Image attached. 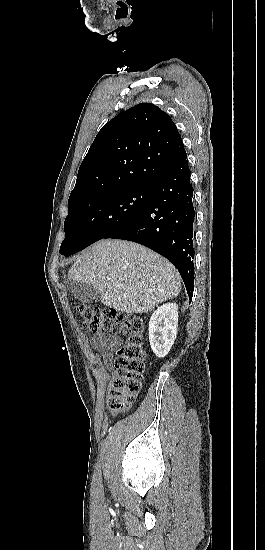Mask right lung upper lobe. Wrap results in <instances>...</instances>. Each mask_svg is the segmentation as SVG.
<instances>
[{
	"instance_id": "obj_1",
	"label": "right lung upper lobe",
	"mask_w": 265,
	"mask_h": 550,
	"mask_svg": "<svg viewBox=\"0 0 265 550\" xmlns=\"http://www.w3.org/2000/svg\"><path fill=\"white\" fill-rule=\"evenodd\" d=\"M185 153L170 116L151 103L138 104L101 128L81 163L68 204L152 187Z\"/></svg>"
}]
</instances>
